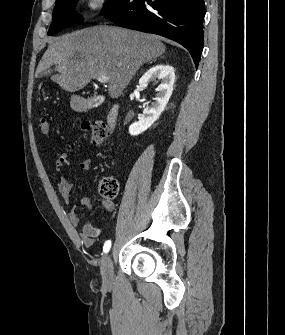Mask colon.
<instances>
[{
  "instance_id": "1",
  "label": "colon",
  "mask_w": 285,
  "mask_h": 335,
  "mask_svg": "<svg viewBox=\"0 0 285 335\" xmlns=\"http://www.w3.org/2000/svg\"><path fill=\"white\" fill-rule=\"evenodd\" d=\"M40 131L42 135L47 136L50 131L49 123L45 118L40 121ZM82 130L88 132L93 144L103 143L108 135V127L100 121H86L81 125ZM119 191V184L113 177H104L99 182V192L105 199L111 200L116 198Z\"/></svg>"
}]
</instances>
